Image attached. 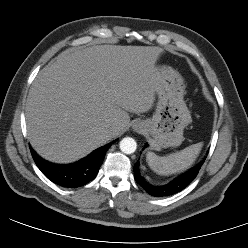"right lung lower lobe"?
<instances>
[{
  "mask_svg": "<svg viewBox=\"0 0 248 248\" xmlns=\"http://www.w3.org/2000/svg\"><path fill=\"white\" fill-rule=\"evenodd\" d=\"M115 141L100 147L82 160L68 165L47 162L39 157L30 147L31 154L42 173L53 183L63 187L83 186L95 179L103 162L106 151Z\"/></svg>",
  "mask_w": 248,
  "mask_h": 248,
  "instance_id": "right-lung-lower-lobe-1",
  "label": "right lung lower lobe"
}]
</instances>
